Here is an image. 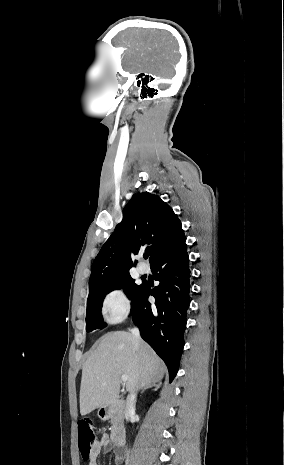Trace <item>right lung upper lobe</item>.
Returning a JSON list of instances; mask_svg holds the SVG:
<instances>
[{
  "label": "right lung upper lobe",
  "mask_w": 284,
  "mask_h": 465,
  "mask_svg": "<svg viewBox=\"0 0 284 465\" xmlns=\"http://www.w3.org/2000/svg\"><path fill=\"white\" fill-rule=\"evenodd\" d=\"M184 238L181 221L158 195L134 194L123 210L122 222L92 264L89 293L130 276L131 254L145 250L152 264Z\"/></svg>",
  "instance_id": "right-lung-upper-lobe-1"
}]
</instances>
